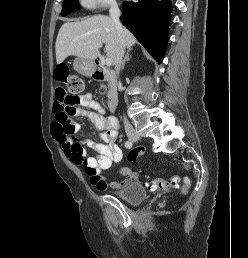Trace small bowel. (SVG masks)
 I'll list each match as a JSON object with an SVG mask.
<instances>
[{
	"mask_svg": "<svg viewBox=\"0 0 248 258\" xmlns=\"http://www.w3.org/2000/svg\"><path fill=\"white\" fill-rule=\"evenodd\" d=\"M66 92L61 87L57 88V98L63 96ZM78 106L73 107V115L76 117L87 118L101 132L100 141L87 139L86 144L96 152L94 157H88L81 143L74 142L69 135L60 131L58 124L55 122L53 131L56 139L60 142L65 156L75 165L85 169H94L96 176H90L89 180L101 191L107 189L119 190L136 179V174L129 168L124 167L120 174L124 176L123 180L108 183L100 177V174L109 169L114 163L122 160V151L116 144L118 137L119 123L113 116L106 117L101 104L96 101L91 93H86L76 103ZM76 131L80 130V124L72 122Z\"/></svg>",
	"mask_w": 248,
	"mask_h": 258,
	"instance_id": "c3829d8e",
	"label": "small bowel"
}]
</instances>
